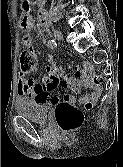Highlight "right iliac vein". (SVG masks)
Returning <instances> with one entry per match:
<instances>
[{
    "mask_svg": "<svg viewBox=\"0 0 123 167\" xmlns=\"http://www.w3.org/2000/svg\"><path fill=\"white\" fill-rule=\"evenodd\" d=\"M53 36L55 37V39H57L59 41H61L63 39L62 33L57 29L53 30Z\"/></svg>",
    "mask_w": 123,
    "mask_h": 167,
    "instance_id": "1",
    "label": "right iliac vein"
}]
</instances>
